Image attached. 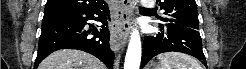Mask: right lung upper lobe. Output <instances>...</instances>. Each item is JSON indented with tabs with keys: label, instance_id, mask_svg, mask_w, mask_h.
Segmentation results:
<instances>
[{
	"label": "right lung upper lobe",
	"instance_id": "obj_1",
	"mask_svg": "<svg viewBox=\"0 0 246 69\" xmlns=\"http://www.w3.org/2000/svg\"><path fill=\"white\" fill-rule=\"evenodd\" d=\"M104 0H48L44 12L56 9H86L105 5Z\"/></svg>",
	"mask_w": 246,
	"mask_h": 69
}]
</instances>
